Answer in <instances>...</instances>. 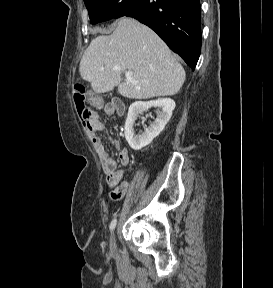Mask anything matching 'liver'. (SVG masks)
Returning a JSON list of instances; mask_svg holds the SVG:
<instances>
[{"instance_id":"obj_1","label":"liver","mask_w":273,"mask_h":288,"mask_svg":"<svg viewBox=\"0 0 273 288\" xmlns=\"http://www.w3.org/2000/svg\"><path fill=\"white\" fill-rule=\"evenodd\" d=\"M82 79L95 93L118 92L129 99L172 96L179 92L185 71L162 39L132 18L118 21L114 32L93 39L80 62ZM133 72V82L121 75Z\"/></svg>"}]
</instances>
